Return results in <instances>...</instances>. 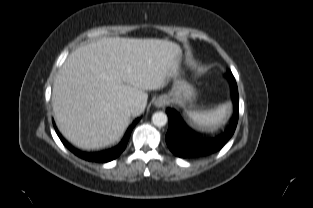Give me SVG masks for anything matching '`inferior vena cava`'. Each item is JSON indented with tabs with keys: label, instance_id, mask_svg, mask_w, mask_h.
<instances>
[{
	"label": "inferior vena cava",
	"instance_id": "1",
	"mask_svg": "<svg viewBox=\"0 0 313 208\" xmlns=\"http://www.w3.org/2000/svg\"><path fill=\"white\" fill-rule=\"evenodd\" d=\"M137 105V101L133 98H130L123 103V105L120 107V110L127 115H131L135 111Z\"/></svg>",
	"mask_w": 313,
	"mask_h": 208
}]
</instances>
